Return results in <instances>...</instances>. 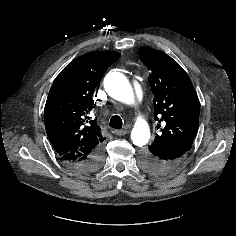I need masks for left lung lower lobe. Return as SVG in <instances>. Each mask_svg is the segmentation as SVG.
<instances>
[{"mask_svg":"<svg viewBox=\"0 0 236 236\" xmlns=\"http://www.w3.org/2000/svg\"><path fill=\"white\" fill-rule=\"evenodd\" d=\"M186 152L183 149H152L153 154L145 153L141 164L148 173L165 175L180 164Z\"/></svg>","mask_w":236,"mask_h":236,"instance_id":"0a47b994","label":"left lung lower lobe"}]
</instances>
